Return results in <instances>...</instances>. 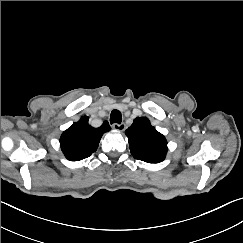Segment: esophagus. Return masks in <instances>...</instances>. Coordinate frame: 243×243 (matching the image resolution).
Wrapping results in <instances>:
<instances>
[{
    "label": "esophagus",
    "instance_id": "34e87169",
    "mask_svg": "<svg viewBox=\"0 0 243 243\" xmlns=\"http://www.w3.org/2000/svg\"><path fill=\"white\" fill-rule=\"evenodd\" d=\"M125 124L124 123H121V124H118V123H114L112 125V128L115 129V130H118V131H124L125 130Z\"/></svg>",
    "mask_w": 243,
    "mask_h": 243
}]
</instances>
